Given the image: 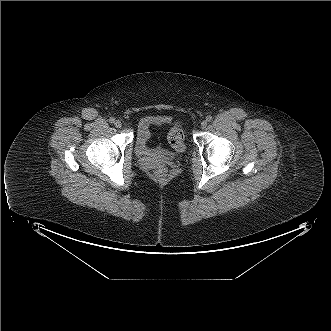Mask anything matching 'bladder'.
Listing matches in <instances>:
<instances>
[{"label": "bladder", "mask_w": 331, "mask_h": 331, "mask_svg": "<svg viewBox=\"0 0 331 331\" xmlns=\"http://www.w3.org/2000/svg\"><path fill=\"white\" fill-rule=\"evenodd\" d=\"M167 123V119L158 117L143 120L137 128L135 136V151L138 156L148 159H161L170 157L174 152L183 153L186 146L183 143L173 150L164 146L158 139L156 129Z\"/></svg>", "instance_id": "bladder-1"}]
</instances>
